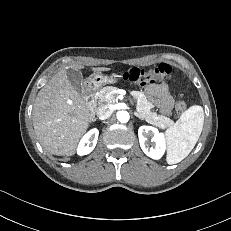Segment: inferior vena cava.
Instances as JSON below:
<instances>
[{"mask_svg": "<svg viewBox=\"0 0 231 231\" xmlns=\"http://www.w3.org/2000/svg\"><path fill=\"white\" fill-rule=\"evenodd\" d=\"M96 113L100 120H105L111 116L112 110L107 105H101L97 108Z\"/></svg>", "mask_w": 231, "mask_h": 231, "instance_id": "602c4592", "label": "inferior vena cava"}]
</instances>
